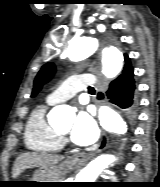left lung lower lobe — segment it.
<instances>
[{
	"instance_id": "obj_1",
	"label": "left lung lower lobe",
	"mask_w": 160,
	"mask_h": 187,
	"mask_svg": "<svg viewBox=\"0 0 160 187\" xmlns=\"http://www.w3.org/2000/svg\"><path fill=\"white\" fill-rule=\"evenodd\" d=\"M125 65L121 74L110 83L107 96L110 102L119 106L128 119H134L138 108V98L133 68L129 57L124 56Z\"/></svg>"
}]
</instances>
